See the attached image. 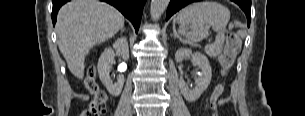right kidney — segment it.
I'll return each instance as SVG.
<instances>
[{
  "label": "right kidney",
  "mask_w": 305,
  "mask_h": 116,
  "mask_svg": "<svg viewBox=\"0 0 305 116\" xmlns=\"http://www.w3.org/2000/svg\"><path fill=\"white\" fill-rule=\"evenodd\" d=\"M115 52L121 55L124 60L129 59L128 42L125 37L118 38L113 44L112 48L108 47L103 51L99 58L97 68L100 80L108 92L113 96H118L123 88L124 76L119 75L117 83L115 84H113L110 78V70L114 61Z\"/></svg>",
  "instance_id": "obj_1"
}]
</instances>
